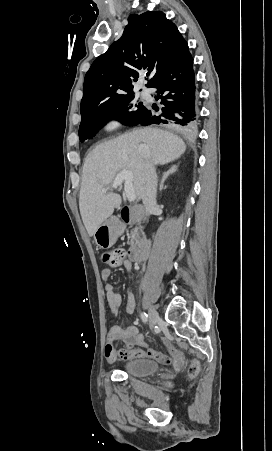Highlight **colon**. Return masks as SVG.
Segmentation results:
<instances>
[{
	"label": "colon",
	"mask_w": 272,
	"mask_h": 451,
	"mask_svg": "<svg viewBox=\"0 0 272 451\" xmlns=\"http://www.w3.org/2000/svg\"><path fill=\"white\" fill-rule=\"evenodd\" d=\"M123 259H124L123 249H114L110 252H105L104 254L98 253L96 255V260L98 262L106 261L110 264L111 268H120L121 262ZM160 361L162 364L165 365V367H183L184 366V363L180 356H177L176 358H169V356H167L166 354H161ZM195 370H196L195 367H193L191 370L189 369V373L191 375H193L195 373Z\"/></svg>",
	"instance_id": "obj_1"
}]
</instances>
